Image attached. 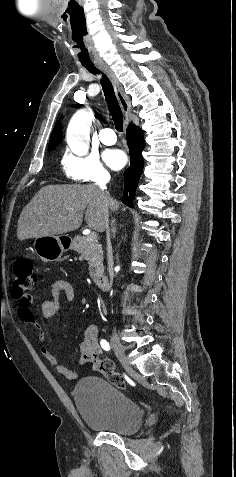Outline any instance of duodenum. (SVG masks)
<instances>
[{
    "label": "duodenum",
    "instance_id": "410a0bca",
    "mask_svg": "<svg viewBox=\"0 0 236 477\" xmlns=\"http://www.w3.org/2000/svg\"><path fill=\"white\" fill-rule=\"evenodd\" d=\"M66 245H70L68 241ZM95 283L100 291H107L109 289V280L106 276L97 277Z\"/></svg>",
    "mask_w": 236,
    "mask_h": 477
}]
</instances>
